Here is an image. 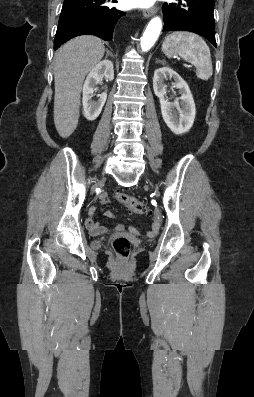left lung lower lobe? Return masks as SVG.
Segmentation results:
<instances>
[{
  "instance_id": "obj_1",
  "label": "left lung lower lobe",
  "mask_w": 254,
  "mask_h": 397,
  "mask_svg": "<svg viewBox=\"0 0 254 397\" xmlns=\"http://www.w3.org/2000/svg\"><path fill=\"white\" fill-rule=\"evenodd\" d=\"M163 31L185 30L200 34L215 47L214 0H178L163 5Z\"/></svg>"
}]
</instances>
